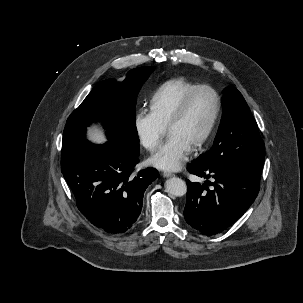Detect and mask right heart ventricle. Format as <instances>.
I'll use <instances>...</instances> for the list:
<instances>
[{"label": "right heart ventricle", "instance_id": "e07e8e85", "mask_svg": "<svg viewBox=\"0 0 303 303\" xmlns=\"http://www.w3.org/2000/svg\"><path fill=\"white\" fill-rule=\"evenodd\" d=\"M198 84L183 77L162 83L150 98V111L165 126L183 97Z\"/></svg>", "mask_w": 303, "mask_h": 303}]
</instances>
